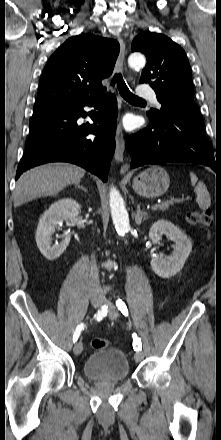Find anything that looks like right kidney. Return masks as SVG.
I'll return each instance as SVG.
<instances>
[{
    "label": "right kidney",
    "instance_id": "1",
    "mask_svg": "<svg viewBox=\"0 0 221 440\" xmlns=\"http://www.w3.org/2000/svg\"><path fill=\"white\" fill-rule=\"evenodd\" d=\"M81 212L80 204L71 199L64 198L54 202L44 212L39 220L36 231V243L41 254L48 260L57 259L67 248L70 242V235L66 234L64 239L55 245H51L52 235L59 229L63 221L72 220Z\"/></svg>",
    "mask_w": 221,
    "mask_h": 440
}]
</instances>
